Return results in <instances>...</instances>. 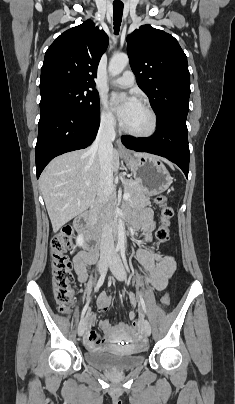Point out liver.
Listing matches in <instances>:
<instances>
[{
	"label": "liver",
	"instance_id": "1",
	"mask_svg": "<svg viewBox=\"0 0 235 404\" xmlns=\"http://www.w3.org/2000/svg\"><path fill=\"white\" fill-rule=\"evenodd\" d=\"M141 155L134 153V156ZM119 166V153L113 149V173L118 172ZM100 176L97 152H91L90 148L63 154L47 165L40 176L39 187L54 233L94 203Z\"/></svg>",
	"mask_w": 235,
	"mask_h": 404
}]
</instances>
